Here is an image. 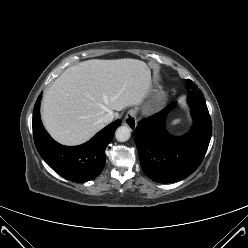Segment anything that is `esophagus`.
Masks as SVG:
<instances>
[{"label":"esophagus","mask_w":248,"mask_h":248,"mask_svg":"<svg viewBox=\"0 0 248 248\" xmlns=\"http://www.w3.org/2000/svg\"><path fill=\"white\" fill-rule=\"evenodd\" d=\"M124 124L128 126L132 131L135 130L137 126L136 111L130 110L124 118Z\"/></svg>","instance_id":"34e87169"}]
</instances>
